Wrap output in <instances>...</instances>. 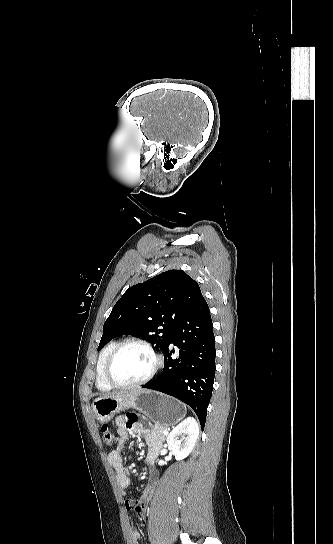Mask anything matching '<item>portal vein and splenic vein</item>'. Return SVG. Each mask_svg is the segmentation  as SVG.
I'll return each instance as SVG.
<instances>
[{
    "label": "portal vein and splenic vein",
    "instance_id": "portal-vein-and-splenic-vein-1",
    "mask_svg": "<svg viewBox=\"0 0 333 544\" xmlns=\"http://www.w3.org/2000/svg\"><path fill=\"white\" fill-rule=\"evenodd\" d=\"M168 432L167 431H164L163 434H167Z\"/></svg>",
    "mask_w": 333,
    "mask_h": 544
}]
</instances>
